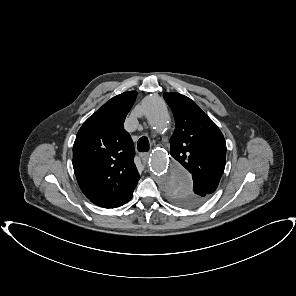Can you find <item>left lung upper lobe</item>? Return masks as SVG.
Wrapping results in <instances>:
<instances>
[{
    "label": "left lung upper lobe",
    "instance_id": "5c2ea615",
    "mask_svg": "<svg viewBox=\"0 0 296 296\" xmlns=\"http://www.w3.org/2000/svg\"><path fill=\"white\" fill-rule=\"evenodd\" d=\"M164 99L175 118L170 154L192 174L194 182L192 191H173L170 199L179 206H197L219 184L225 168V139L217 125L190 98L164 93Z\"/></svg>",
    "mask_w": 296,
    "mask_h": 296
}]
</instances>
